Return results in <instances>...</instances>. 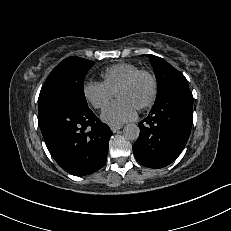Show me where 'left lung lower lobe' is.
Wrapping results in <instances>:
<instances>
[{
	"instance_id": "left-lung-lower-lobe-1",
	"label": "left lung lower lobe",
	"mask_w": 231,
	"mask_h": 231,
	"mask_svg": "<svg viewBox=\"0 0 231 231\" xmlns=\"http://www.w3.org/2000/svg\"><path fill=\"white\" fill-rule=\"evenodd\" d=\"M193 97L188 86L167 91L139 124L133 145L136 160L150 168L171 164L184 149L191 131Z\"/></svg>"
}]
</instances>
